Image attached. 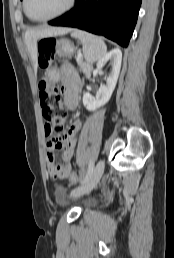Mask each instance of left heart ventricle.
Returning <instances> with one entry per match:
<instances>
[{
  "instance_id": "1",
  "label": "left heart ventricle",
  "mask_w": 174,
  "mask_h": 258,
  "mask_svg": "<svg viewBox=\"0 0 174 258\" xmlns=\"http://www.w3.org/2000/svg\"><path fill=\"white\" fill-rule=\"evenodd\" d=\"M69 0H28V11L34 18H44L62 10Z\"/></svg>"
}]
</instances>
